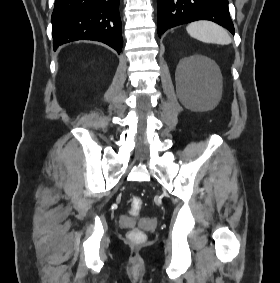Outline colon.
I'll return each instance as SVG.
<instances>
[{
    "instance_id": "obj_1",
    "label": "colon",
    "mask_w": 280,
    "mask_h": 283,
    "mask_svg": "<svg viewBox=\"0 0 280 283\" xmlns=\"http://www.w3.org/2000/svg\"><path fill=\"white\" fill-rule=\"evenodd\" d=\"M142 205H143L142 199L140 197H134L131 200V212L133 214H137L141 210ZM129 234L133 239H136V240H140L144 237L143 233L138 229H134L130 231Z\"/></svg>"
}]
</instances>
